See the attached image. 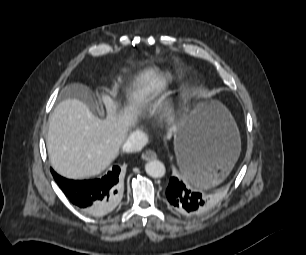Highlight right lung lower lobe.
<instances>
[{
  "instance_id": "obj_1",
  "label": "right lung lower lobe",
  "mask_w": 306,
  "mask_h": 255,
  "mask_svg": "<svg viewBox=\"0 0 306 255\" xmlns=\"http://www.w3.org/2000/svg\"><path fill=\"white\" fill-rule=\"evenodd\" d=\"M51 172L68 199L90 215H105L111 212L120 200L121 177L118 166H114L104 177L94 180H68L52 169Z\"/></svg>"
}]
</instances>
